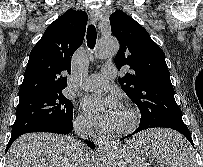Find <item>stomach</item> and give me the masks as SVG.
I'll return each instance as SVG.
<instances>
[{
    "label": "stomach",
    "mask_w": 203,
    "mask_h": 167,
    "mask_svg": "<svg viewBox=\"0 0 203 167\" xmlns=\"http://www.w3.org/2000/svg\"><path fill=\"white\" fill-rule=\"evenodd\" d=\"M157 131H150L143 133L138 138L142 139V143L146 142L147 138ZM169 132V131H168ZM172 134H176L171 132ZM140 146L136 147L132 142L120 149L113 150L111 153V160L114 167H148L140 154Z\"/></svg>",
    "instance_id": "obj_1"
}]
</instances>
